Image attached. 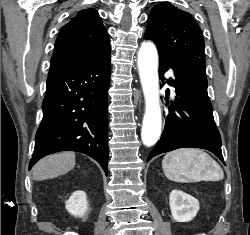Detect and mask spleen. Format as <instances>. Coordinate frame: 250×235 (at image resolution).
<instances>
[{
	"instance_id": "spleen-1",
	"label": "spleen",
	"mask_w": 250,
	"mask_h": 235,
	"mask_svg": "<svg viewBox=\"0 0 250 235\" xmlns=\"http://www.w3.org/2000/svg\"><path fill=\"white\" fill-rule=\"evenodd\" d=\"M165 176L174 182L221 181L224 173L220 165L207 153L183 148L165 155L162 161Z\"/></svg>"
}]
</instances>
